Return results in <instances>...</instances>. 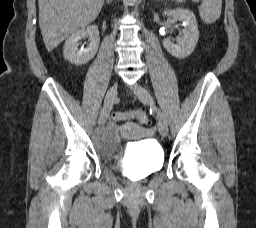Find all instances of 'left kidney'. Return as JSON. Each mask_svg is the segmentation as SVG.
<instances>
[{"instance_id": "obj_1", "label": "left kidney", "mask_w": 256, "mask_h": 228, "mask_svg": "<svg viewBox=\"0 0 256 228\" xmlns=\"http://www.w3.org/2000/svg\"><path fill=\"white\" fill-rule=\"evenodd\" d=\"M165 16L181 20L184 24L183 37L172 43L168 38L163 40L164 48L174 57L184 59L194 51L199 38L196 17L193 12L183 8L164 11Z\"/></svg>"}]
</instances>
